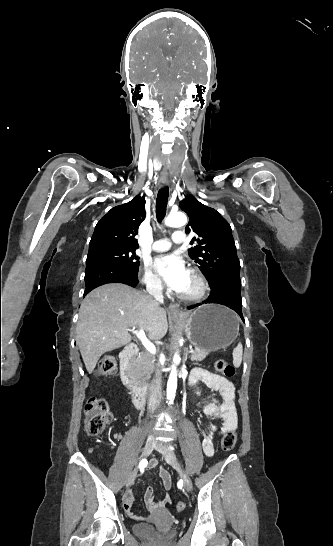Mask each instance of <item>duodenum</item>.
Here are the masks:
<instances>
[{
    "label": "duodenum",
    "mask_w": 333,
    "mask_h": 546,
    "mask_svg": "<svg viewBox=\"0 0 333 546\" xmlns=\"http://www.w3.org/2000/svg\"><path fill=\"white\" fill-rule=\"evenodd\" d=\"M138 354L139 349L134 345L124 349L120 357V376L132 402L141 408L148 400V391L135 378L134 360Z\"/></svg>",
    "instance_id": "410a0bca"
}]
</instances>
